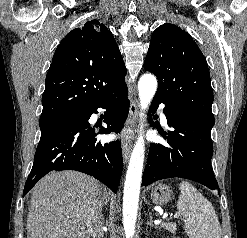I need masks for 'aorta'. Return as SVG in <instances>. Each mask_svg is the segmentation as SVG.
I'll return each instance as SVG.
<instances>
[{
    "instance_id": "obj_1",
    "label": "aorta",
    "mask_w": 247,
    "mask_h": 238,
    "mask_svg": "<svg viewBox=\"0 0 247 238\" xmlns=\"http://www.w3.org/2000/svg\"><path fill=\"white\" fill-rule=\"evenodd\" d=\"M157 90V80L152 74H144L138 82L140 107L147 111ZM145 116L141 113V119ZM142 129V126H141ZM145 144L142 135L137 139L128 165L123 193V227L126 238H132L135 231L139 203L140 185L144 163Z\"/></svg>"
}]
</instances>
